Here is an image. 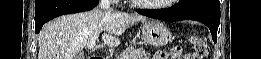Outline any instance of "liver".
Wrapping results in <instances>:
<instances>
[{"instance_id": "obj_1", "label": "liver", "mask_w": 261, "mask_h": 59, "mask_svg": "<svg viewBox=\"0 0 261 59\" xmlns=\"http://www.w3.org/2000/svg\"><path fill=\"white\" fill-rule=\"evenodd\" d=\"M145 20L138 14H108L98 8L60 16L45 24L40 31L38 59H76L100 33H103L102 39L107 46L116 47L120 44V35Z\"/></svg>"}]
</instances>
